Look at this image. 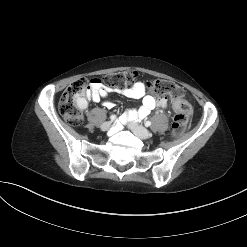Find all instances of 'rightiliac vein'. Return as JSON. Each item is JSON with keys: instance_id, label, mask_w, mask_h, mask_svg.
Wrapping results in <instances>:
<instances>
[{"instance_id": "obj_1", "label": "right iliac vein", "mask_w": 247, "mask_h": 247, "mask_svg": "<svg viewBox=\"0 0 247 247\" xmlns=\"http://www.w3.org/2000/svg\"><path fill=\"white\" fill-rule=\"evenodd\" d=\"M111 126H112V122L111 121H107V122H105V123H103L101 125V130L102 131H107V130L110 129Z\"/></svg>"}]
</instances>
